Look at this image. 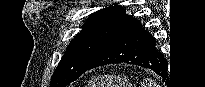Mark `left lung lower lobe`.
<instances>
[{"label": "left lung lower lobe", "instance_id": "0a47b994", "mask_svg": "<svg viewBox=\"0 0 205 87\" xmlns=\"http://www.w3.org/2000/svg\"><path fill=\"white\" fill-rule=\"evenodd\" d=\"M114 63L149 68L164 79L167 75V61L156 49L154 38L133 16L124 18L87 70Z\"/></svg>", "mask_w": 205, "mask_h": 87}]
</instances>
